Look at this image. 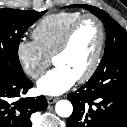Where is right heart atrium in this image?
<instances>
[{"instance_id":"d8ad5b80","label":"right heart atrium","mask_w":127,"mask_h":127,"mask_svg":"<svg viewBox=\"0 0 127 127\" xmlns=\"http://www.w3.org/2000/svg\"><path fill=\"white\" fill-rule=\"evenodd\" d=\"M16 55L25 74L35 80L44 74L51 63V59L31 40H20L16 46Z\"/></svg>"}]
</instances>
